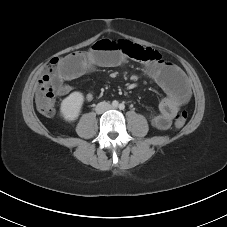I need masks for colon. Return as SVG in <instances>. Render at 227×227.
I'll list each match as a JSON object with an SVG mask.
<instances>
[{"label": "colon", "mask_w": 227, "mask_h": 227, "mask_svg": "<svg viewBox=\"0 0 227 227\" xmlns=\"http://www.w3.org/2000/svg\"><path fill=\"white\" fill-rule=\"evenodd\" d=\"M112 41L116 48L137 61L151 64L160 60V54L151 48H144L124 40ZM61 60L62 59L55 57L49 61L47 66L48 74L44 75L38 81L37 85L36 106L38 111L47 117H51L55 114V90L51 83V73L59 67ZM187 118L188 114L186 111L178 112L174 118L175 127L182 128Z\"/></svg>", "instance_id": "obj_1"}]
</instances>
